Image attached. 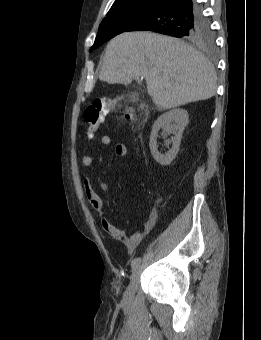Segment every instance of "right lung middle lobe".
<instances>
[{"label":"right lung middle lobe","instance_id":"right-lung-middle-lobe-1","mask_svg":"<svg viewBox=\"0 0 261 340\" xmlns=\"http://www.w3.org/2000/svg\"><path fill=\"white\" fill-rule=\"evenodd\" d=\"M158 4L159 1H137L111 7L99 26L98 34L90 52L107 40L125 32L140 18L156 8ZM181 38L207 47H211L214 42L210 24L203 16L196 24L188 27Z\"/></svg>","mask_w":261,"mask_h":340}]
</instances>
